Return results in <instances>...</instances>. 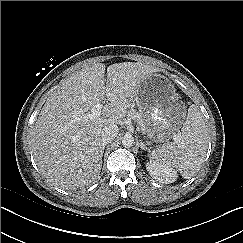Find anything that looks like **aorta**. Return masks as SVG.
Listing matches in <instances>:
<instances>
[{
    "label": "aorta",
    "mask_w": 243,
    "mask_h": 243,
    "mask_svg": "<svg viewBox=\"0 0 243 243\" xmlns=\"http://www.w3.org/2000/svg\"><path fill=\"white\" fill-rule=\"evenodd\" d=\"M134 144V138L131 135H125L122 139V145L124 147H132Z\"/></svg>",
    "instance_id": "762f6f07"
}]
</instances>
